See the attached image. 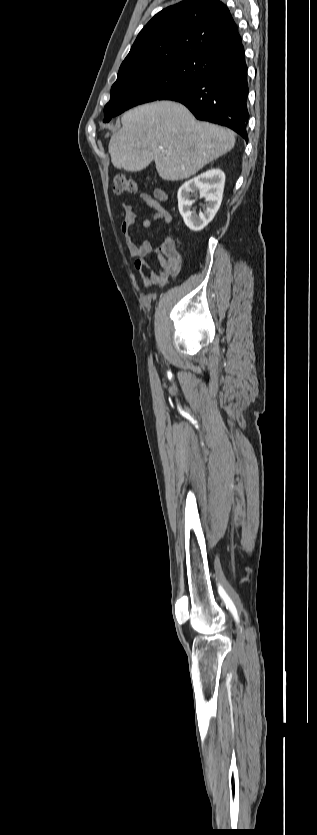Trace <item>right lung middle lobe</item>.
<instances>
[{
	"instance_id": "obj_1",
	"label": "right lung middle lobe",
	"mask_w": 317,
	"mask_h": 835,
	"mask_svg": "<svg viewBox=\"0 0 317 835\" xmlns=\"http://www.w3.org/2000/svg\"><path fill=\"white\" fill-rule=\"evenodd\" d=\"M196 57L142 68L118 76L111 88L110 101L104 107V122L125 110L159 100L165 94L202 78Z\"/></svg>"
}]
</instances>
